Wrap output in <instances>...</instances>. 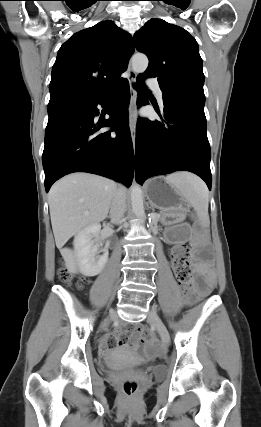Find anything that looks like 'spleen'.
Listing matches in <instances>:
<instances>
[{"mask_svg": "<svg viewBox=\"0 0 261 427\" xmlns=\"http://www.w3.org/2000/svg\"><path fill=\"white\" fill-rule=\"evenodd\" d=\"M167 179L174 183L183 197L196 211L203 226L209 225L208 202L209 194L205 183L197 176L180 172L167 176Z\"/></svg>", "mask_w": 261, "mask_h": 427, "instance_id": "obj_1", "label": "spleen"}]
</instances>
